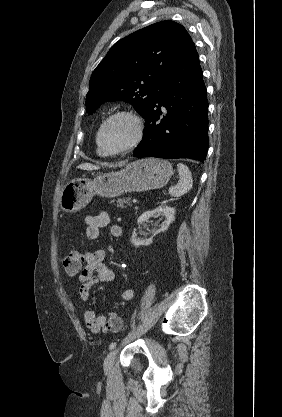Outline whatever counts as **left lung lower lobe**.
<instances>
[{
  "label": "left lung lower lobe",
  "mask_w": 282,
  "mask_h": 417,
  "mask_svg": "<svg viewBox=\"0 0 282 417\" xmlns=\"http://www.w3.org/2000/svg\"><path fill=\"white\" fill-rule=\"evenodd\" d=\"M144 118L143 140L134 157L189 158L204 163L208 101L194 43L172 64Z\"/></svg>",
  "instance_id": "obj_1"
}]
</instances>
